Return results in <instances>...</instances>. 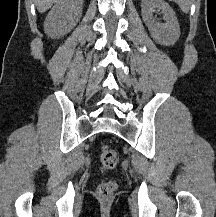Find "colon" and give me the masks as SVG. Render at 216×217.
<instances>
[{
	"instance_id": "5ec220e1",
	"label": "colon",
	"mask_w": 216,
	"mask_h": 217,
	"mask_svg": "<svg viewBox=\"0 0 216 217\" xmlns=\"http://www.w3.org/2000/svg\"><path fill=\"white\" fill-rule=\"evenodd\" d=\"M100 163L106 170L115 169L119 163L116 151L108 145H103L100 149ZM116 187L114 181L104 182L99 185L97 195L101 200L109 201L113 197Z\"/></svg>"
}]
</instances>
